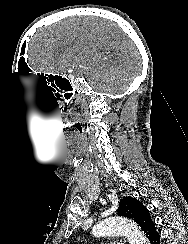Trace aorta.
Wrapping results in <instances>:
<instances>
[{"label": "aorta", "mask_w": 188, "mask_h": 244, "mask_svg": "<svg viewBox=\"0 0 188 244\" xmlns=\"http://www.w3.org/2000/svg\"><path fill=\"white\" fill-rule=\"evenodd\" d=\"M94 236L124 235L130 244H148L137 224L122 217H110L95 225Z\"/></svg>", "instance_id": "aorta-1"}]
</instances>
